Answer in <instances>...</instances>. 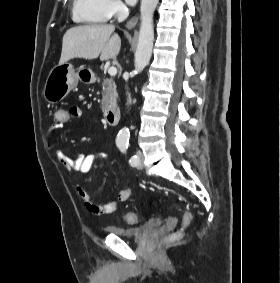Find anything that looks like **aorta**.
<instances>
[{"label": "aorta", "mask_w": 280, "mask_h": 283, "mask_svg": "<svg viewBox=\"0 0 280 283\" xmlns=\"http://www.w3.org/2000/svg\"><path fill=\"white\" fill-rule=\"evenodd\" d=\"M159 0H142L141 1V24L139 30L137 50L135 54V73H141L148 65L153 49L154 28L153 14ZM130 132L128 128H123L117 135V143L125 144L128 142Z\"/></svg>", "instance_id": "762f6f07"}]
</instances>
